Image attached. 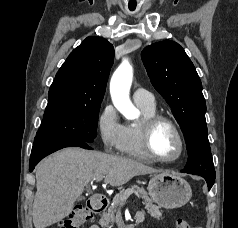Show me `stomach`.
Segmentation results:
<instances>
[{
  "label": "stomach",
  "mask_w": 238,
  "mask_h": 228,
  "mask_svg": "<svg viewBox=\"0 0 238 228\" xmlns=\"http://www.w3.org/2000/svg\"><path fill=\"white\" fill-rule=\"evenodd\" d=\"M148 192L152 200L165 209L182 207L192 197L189 183L171 172L156 173L149 181Z\"/></svg>",
  "instance_id": "obj_1"
}]
</instances>
